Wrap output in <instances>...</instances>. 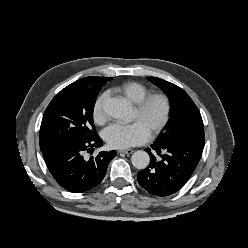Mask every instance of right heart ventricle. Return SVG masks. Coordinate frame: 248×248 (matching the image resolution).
Instances as JSON below:
<instances>
[{
	"label": "right heart ventricle",
	"instance_id": "1",
	"mask_svg": "<svg viewBox=\"0 0 248 248\" xmlns=\"http://www.w3.org/2000/svg\"><path fill=\"white\" fill-rule=\"evenodd\" d=\"M114 91L135 104L149 93L147 86L136 81L125 82L120 86L115 87Z\"/></svg>",
	"mask_w": 248,
	"mask_h": 248
}]
</instances>
